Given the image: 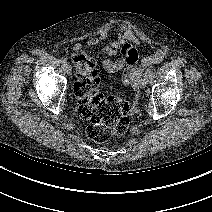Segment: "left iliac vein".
Segmentation results:
<instances>
[{"mask_svg":"<svg viewBox=\"0 0 212 212\" xmlns=\"http://www.w3.org/2000/svg\"><path fill=\"white\" fill-rule=\"evenodd\" d=\"M146 84H147V80H146V78H143V79L141 80V82H140L139 87H140L141 89H144V88L146 87Z\"/></svg>","mask_w":212,"mask_h":212,"instance_id":"left-iliac-vein-1","label":"left iliac vein"}]
</instances>
